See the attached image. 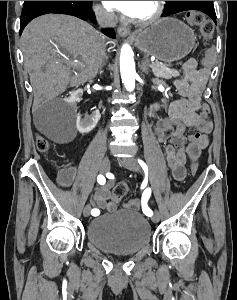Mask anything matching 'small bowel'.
Returning <instances> with one entry per match:
<instances>
[{
    "label": "small bowel",
    "instance_id": "small-bowel-1",
    "mask_svg": "<svg viewBox=\"0 0 237 300\" xmlns=\"http://www.w3.org/2000/svg\"><path fill=\"white\" fill-rule=\"evenodd\" d=\"M180 70L184 79H175L174 86L182 98L170 103L167 99H162L147 111L149 117H154L158 111L167 109L168 116L158 119L154 134L160 143L166 144V161L176 181L185 178L188 159L199 157L201 150L208 145V136L213 130V123L209 119L210 108L203 101V93L211 75L210 68L199 67L195 59H188ZM187 128H193L196 132L185 137ZM57 182L65 188L72 185L82 189L92 186V181L80 178L74 167L61 168L57 173ZM113 186L114 180H110L106 185L95 188L91 203L99 213L101 210H116L117 201L111 196ZM129 206L138 208L140 202L132 200Z\"/></svg>",
    "mask_w": 237,
    "mask_h": 300
}]
</instances>
